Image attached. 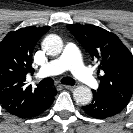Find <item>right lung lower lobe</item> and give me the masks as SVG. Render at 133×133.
Segmentation results:
<instances>
[{
    "label": "right lung lower lobe",
    "mask_w": 133,
    "mask_h": 133,
    "mask_svg": "<svg viewBox=\"0 0 133 133\" xmlns=\"http://www.w3.org/2000/svg\"><path fill=\"white\" fill-rule=\"evenodd\" d=\"M55 95H56V89L50 88L49 94L44 100V102L42 103V105L40 106V108L35 113L31 114L30 116L22 117V118L35 117L45 112L52 104Z\"/></svg>",
    "instance_id": "obj_1"
}]
</instances>
